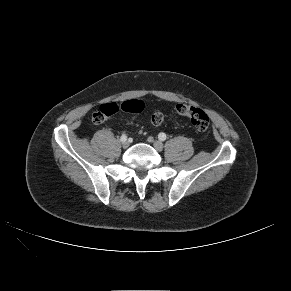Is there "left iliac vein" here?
<instances>
[{"instance_id":"4c4485c4","label":"left iliac vein","mask_w":291,"mask_h":291,"mask_svg":"<svg viewBox=\"0 0 291 291\" xmlns=\"http://www.w3.org/2000/svg\"><path fill=\"white\" fill-rule=\"evenodd\" d=\"M149 141L153 143V146L157 151L163 150V143L161 141H154L152 138H149Z\"/></svg>"}]
</instances>
